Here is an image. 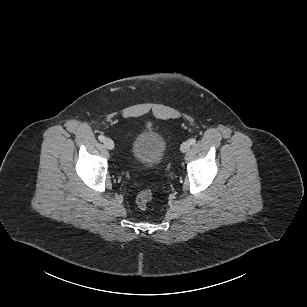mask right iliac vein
<instances>
[{
    "label": "right iliac vein",
    "mask_w": 307,
    "mask_h": 307,
    "mask_svg": "<svg viewBox=\"0 0 307 307\" xmlns=\"http://www.w3.org/2000/svg\"><path fill=\"white\" fill-rule=\"evenodd\" d=\"M104 146L109 149V150H112L114 148V142L112 141V139L110 138H106L104 140Z\"/></svg>",
    "instance_id": "obj_1"
}]
</instances>
